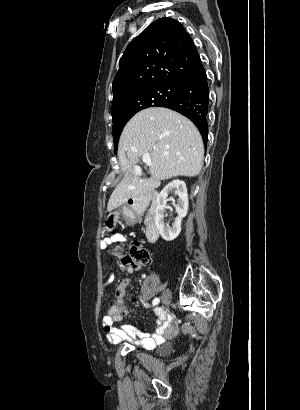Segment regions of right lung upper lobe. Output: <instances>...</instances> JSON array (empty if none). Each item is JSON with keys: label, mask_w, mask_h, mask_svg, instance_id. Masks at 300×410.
Returning <instances> with one entry per match:
<instances>
[{"label": "right lung upper lobe", "mask_w": 300, "mask_h": 410, "mask_svg": "<svg viewBox=\"0 0 300 410\" xmlns=\"http://www.w3.org/2000/svg\"><path fill=\"white\" fill-rule=\"evenodd\" d=\"M202 65L193 40L171 18L150 24L127 46L113 81L112 117L122 114L137 91L161 85H183Z\"/></svg>", "instance_id": "1"}]
</instances>
